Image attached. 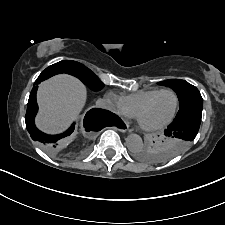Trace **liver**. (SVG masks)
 <instances>
[{
	"label": "liver",
	"mask_w": 225,
	"mask_h": 225,
	"mask_svg": "<svg viewBox=\"0 0 225 225\" xmlns=\"http://www.w3.org/2000/svg\"><path fill=\"white\" fill-rule=\"evenodd\" d=\"M37 126L47 133L64 130L86 101V87L75 77L61 74L39 85Z\"/></svg>",
	"instance_id": "1"
}]
</instances>
